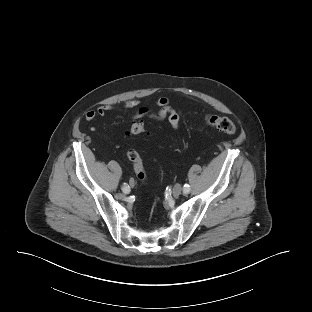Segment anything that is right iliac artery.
<instances>
[{
  "instance_id": "82829eb1",
  "label": "right iliac artery",
  "mask_w": 312,
  "mask_h": 312,
  "mask_svg": "<svg viewBox=\"0 0 312 312\" xmlns=\"http://www.w3.org/2000/svg\"><path fill=\"white\" fill-rule=\"evenodd\" d=\"M122 190L124 193H129L130 192V188L127 184L124 183L123 187H122Z\"/></svg>"
}]
</instances>
